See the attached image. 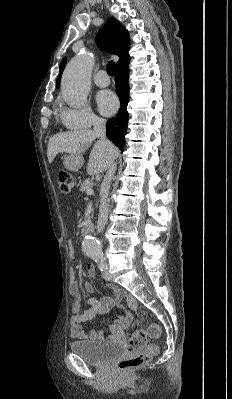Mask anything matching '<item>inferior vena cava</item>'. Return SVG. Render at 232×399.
<instances>
[{
	"instance_id": "1",
	"label": "inferior vena cava",
	"mask_w": 232,
	"mask_h": 399,
	"mask_svg": "<svg viewBox=\"0 0 232 399\" xmlns=\"http://www.w3.org/2000/svg\"><path fill=\"white\" fill-rule=\"evenodd\" d=\"M92 124L94 126V134L99 138V142L102 144H106V146H111V142H107L106 138V122L102 120V118H94L92 120ZM115 156L112 154L110 158V164L108 166V170L106 172V176H104V180L101 184V200H100V207H99V217L97 223L98 231H102L104 229V225L107 223L108 219V194L109 188L111 184V180L115 174L116 164L114 162Z\"/></svg>"
}]
</instances>
